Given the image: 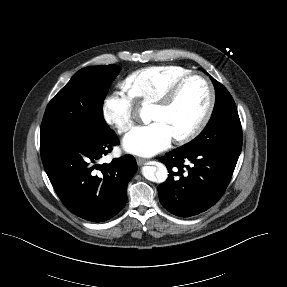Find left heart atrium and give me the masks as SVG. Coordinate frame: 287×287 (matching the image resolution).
Returning a JSON list of instances; mask_svg holds the SVG:
<instances>
[{
  "mask_svg": "<svg viewBox=\"0 0 287 287\" xmlns=\"http://www.w3.org/2000/svg\"><path fill=\"white\" fill-rule=\"evenodd\" d=\"M172 139V133L163 122L153 121L135 127L125 136L123 145L130 153L148 157L168 148Z\"/></svg>",
  "mask_w": 287,
  "mask_h": 287,
  "instance_id": "39dd6f15",
  "label": "left heart atrium"
}]
</instances>
